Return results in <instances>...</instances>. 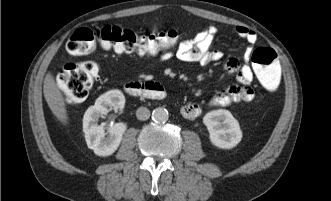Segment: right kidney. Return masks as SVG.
<instances>
[{"instance_id": "right-kidney-1", "label": "right kidney", "mask_w": 331, "mask_h": 201, "mask_svg": "<svg viewBox=\"0 0 331 201\" xmlns=\"http://www.w3.org/2000/svg\"><path fill=\"white\" fill-rule=\"evenodd\" d=\"M125 97L120 90H111L102 94L93 106H90L83 117V131L88 148L98 156L112 155L119 147L127 125L118 122L106 127L98 124L100 117L107 115L110 110H122ZM107 130V131H106Z\"/></svg>"}]
</instances>
